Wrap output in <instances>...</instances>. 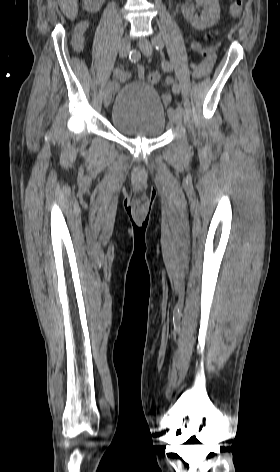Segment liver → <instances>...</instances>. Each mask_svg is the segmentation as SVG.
Listing matches in <instances>:
<instances>
[{"label":"liver","mask_w":280,"mask_h":472,"mask_svg":"<svg viewBox=\"0 0 280 472\" xmlns=\"http://www.w3.org/2000/svg\"><path fill=\"white\" fill-rule=\"evenodd\" d=\"M60 9L64 15L71 20H74L78 14L77 0H58Z\"/></svg>","instance_id":"obj_1"}]
</instances>
